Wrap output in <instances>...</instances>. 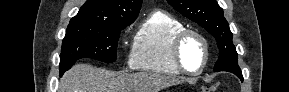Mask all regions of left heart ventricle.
Listing matches in <instances>:
<instances>
[{
  "mask_svg": "<svg viewBox=\"0 0 289 92\" xmlns=\"http://www.w3.org/2000/svg\"><path fill=\"white\" fill-rule=\"evenodd\" d=\"M204 51L202 43L196 37H188L182 45L181 58L184 66L191 71L200 68Z\"/></svg>",
  "mask_w": 289,
  "mask_h": 92,
  "instance_id": "1",
  "label": "left heart ventricle"
}]
</instances>
